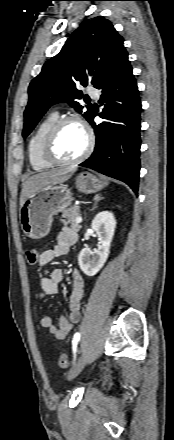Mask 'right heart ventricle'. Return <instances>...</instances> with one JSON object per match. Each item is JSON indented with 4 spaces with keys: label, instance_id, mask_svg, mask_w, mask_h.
Segmentation results:
<instances>
[{
    "label": "right heart ventricle",
    "instance_id": "obj_1",
    "mask_svg": "<svg viewBox=\"0 0 174 440\" xmlns=\"http://www.w3.org/2000/svg\"><path fill=\"white\" fill-rule=\"evenodd\" d=\"M58 120L56 113L46 116L34 129L28 141V158L30 165L35 171H45L53 167L43 155L45 138L50 128Z\"/></svg>",
    "mask_w": 174,
    "mask_h": 440
}]
</instances>
